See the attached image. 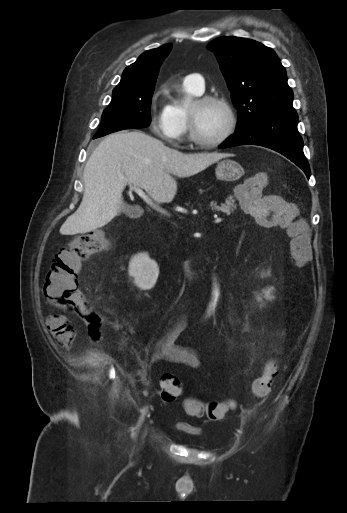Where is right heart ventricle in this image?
<instances>
[{
    "label": "right heart ventricle",
    "instance_id": "e07e8e85",
    "mask_svg": "<svg viewBox=\"0 0 347 513\" xmlns=\"http://www.w3.org/2000/svg\"><path fill=\"white\" fill-rule=\"evenodd\" d=\"M199 93L196 89H194L191 85H189L185 80L179 86V90L173 99L166 105L167 111L173 117V119L178 123V125L185 130H188L187 124V104L182 100V96L190 95V96H199Z\"/></svg>",
    "mask_w": 347,
    "mask_h": 513
}]
</instances>
